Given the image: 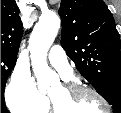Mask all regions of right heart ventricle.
Wrapping results in <instances>:
<instances>
[{"mask_svg":"<svg viewBox=\"0 0 121 113\" xmlns=\"http://www.w3.org/2000/svg\"><path fill=\"white\" fill-rule=\"evenodd\" d=\"M49 110H50L49 103L46 100L45 103H44V105H43V107H42V109H41V112H47Z\"/></svg>","mask_w":121,"mask_h":113,"instance_id":"obj_1","label":"right heart ventricle"}]
</instances>
